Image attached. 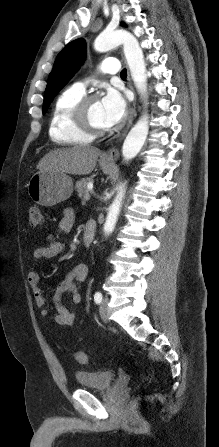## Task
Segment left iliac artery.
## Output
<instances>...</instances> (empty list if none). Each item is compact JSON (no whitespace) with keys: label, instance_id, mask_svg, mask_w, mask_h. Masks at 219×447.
<instances>
[{"label":"left iliac artery","instance_id":"44dca946","mask_svg":"<svg viewBox=\"0 0 219 447\" xmlns=\"http://www.w3.org/2000/svg\"><path fill=\"white\" fill-rule=\"evenodd\" d=\"M94 301L96 302V304H100L102 301V294L101 292H96L94 295Z\"/></svg>","mask_w":219,"mask_h":447}]
</instances>
